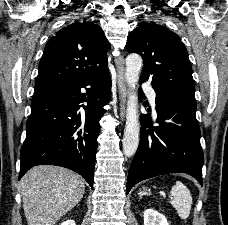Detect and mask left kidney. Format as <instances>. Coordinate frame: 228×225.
I'll use <instances>...</instances> for the list:
<instances>
[{
    "instance_id": "obj_1",
    "label": "left kidney",
    "mask_w": 228,
    "mask_h": 225,
    "mask_svg": "<svg viewBox=\"0 0 228 225\" xmlns=\"http://www.w3.org/2000/svg\"><path fill=\"white\" fill-rule=\"evenodd\" d=\"M144 225H169L164 215L155 211V209H146L144 211Z\"/></svg>"
}]
</instances>
